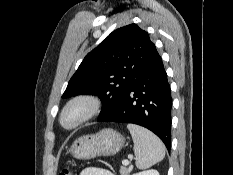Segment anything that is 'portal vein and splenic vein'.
Returning a JSON list of instances; mask_svg holds the SVG:
<instances>
[{"label": "portal vein and splenic vein", "mask_w": 233, "mask_h": 175, "mask_svg": "<svg viewBox=\"0 0 233 175\" xmlns=\"http://www.w3.org/2000/svg\"><path fill=\"white\" fill-rule=\"evenodd\" d=\"M129 163H130L129 160H123L122 161V164L125 165V166L129 165Z\"/></svg>", "instance_id": "1"}]
</instances>
